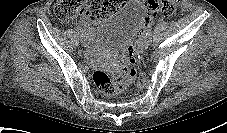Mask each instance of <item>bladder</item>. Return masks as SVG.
<instances>
[{"label": "bladder", "mask_w": 227, "mask_h": 133, "mask_svg": "<svg viewBox=\"0 0 227 133\" xmlns=\"http://www.w3.org/2000/svg\"><path fill=\"white\" fill-rule=\"evenodd\" d=\"M143 17L139 1H130L109 19L99 31L97 45L109 51H120L135 35Z\"/></svg>", "instance_id": "obj_1"}]
</instances>
